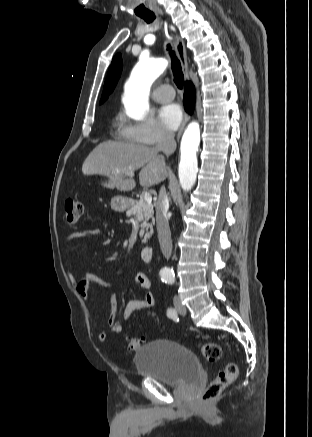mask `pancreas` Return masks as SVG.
Wrapping results in <instances>:
<instances>
[{"label":"pancreas","mask_w":312,"mask_h":437,"mask_svg":"<svg viewBox=\"0 0 312 437\" xmlns=\"http://www.w3.org/2000/svg\"><path fill=\"white\" fill-rule=\"evenodd\" d=\"M153 215V205L147 203L143 198H140L139 201H135L131 208L126 212L127 217L133 216L141 223L139 236L140 238H143L142 242H146L153 234ZM149 220H151V222Z\"/></svg>","instance_id":"cf45deb5"}]
</instances>
